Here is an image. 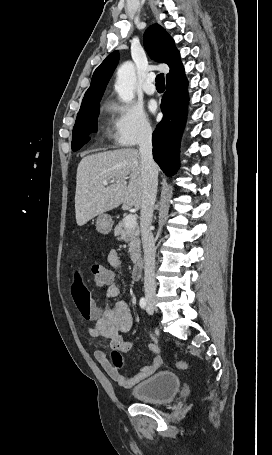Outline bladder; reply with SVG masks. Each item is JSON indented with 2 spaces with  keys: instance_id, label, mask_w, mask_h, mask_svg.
<instances>
[{
  "instance_id": "obj_1",
  "label": "bladder",
  "mask_w": 272,
  "mask_h": 455,
  "mask_svg": "<svg viewBox=\"0 0 272 455\" xmlns=\"http://www.w3.org/2000/svg\"><path fill=\"white\" fill-rule=\"evenodd\" d=\"M181 381L172 371H159L139 382L131 390L132 396L143 402L164 403L173 399L179 392Z\"/></svg>"
}]
</instances>
